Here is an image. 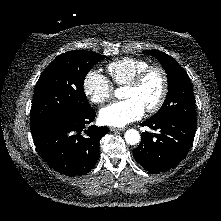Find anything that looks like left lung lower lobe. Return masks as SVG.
Wrapping results in <instances>:
<instances>
[{
    "label": "left lung lower lobe",
    "mask_w": 221,
    "mask_h": 221,
    "mask_svg": "<svg viewBox=\"0 0 221 221\" xmlns=\"http://www.w3.org/2000/svg\"><path fill=\"white\" fill-rule=\"evenodd\" d=\"M197 121L177 116L150 118L141 125L157 133H143L133 151L135 160L147 171L158 174L174 168L192 146Z\"/></svg>",
    "instance_id": "1"
}]
</instances>
